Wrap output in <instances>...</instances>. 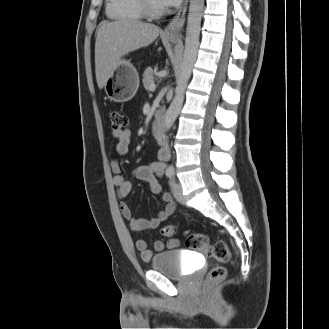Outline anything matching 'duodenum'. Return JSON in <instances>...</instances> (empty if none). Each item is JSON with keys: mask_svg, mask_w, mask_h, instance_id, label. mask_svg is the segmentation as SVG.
I'll list each match as a JSON object with an SVG mask.
<instances>
[{"mask_svg": "<svg viewBox=\"0 0 329 329\" xmlns=\"http://www.w3.org/2000/svg\"><path fill=\"white\" fill-rule=\"evenodd\" d=\"M163 118H164V111L158 110L151 123V129H152L153 135L157 139L164 138Z\"/></svg>", "mask_w": 329, "mask_h": 329, "instance_id": "410a0bca", "label": "duodenum"}]
</instances>
